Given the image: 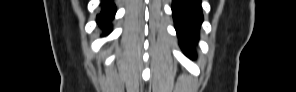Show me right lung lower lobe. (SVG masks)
<instances>
[{
    "instance_id": "right-lung-lower-lobe-1",
    "label": "right lung lower lobe",
    "mask_w": 296,
    "mask_h": 92,
    "mask_svg": "<svg viewBox=\"0 0 296 92\" xmlns=\"http://www.w3.org/2000/svg\"><path fill=\"white\" fill-rule=\"evenodd\" d=\"M116 7L111 0H105L102 3L101 12L97 15V23L104 28V35L111 31V21L114 18Z\"/></svg>"
}]
</instances>
